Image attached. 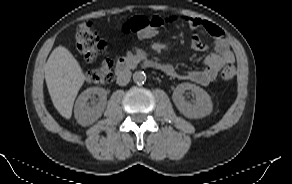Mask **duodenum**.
<instances>
[{
	"instance_id": "duodenum-1",
	"label": "duodenum",
	"mask_w": 292,
	"mask_h": 184,
	"mask_svg": "<svg viewBox=\"0 0 292 184\" xmlns=\"http://www.w3.org/2000/svg\"><path fill=\"white\" fill-rule=\"evenodd\" d=\"M143 63L145 65L154 67L157 70H160L162 72H168V66L166 64L163 63H158V62H154L152 60H149L147 58H145L143 60ZM133 65V61L131 58L129 57H122L120 58L117 63H116V67H115V71L117 76L120 79H123L126 76V73L128 71V69Z\"/></svg>"
}]
</instances>
